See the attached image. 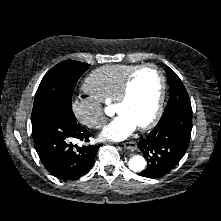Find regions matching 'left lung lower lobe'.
<instances>
[{"label":"left lung lower lobe","mask_w":221,"mask_h":221,"mask_svg":"<svg viewBox=\"0 0 221 221\" xmlns=\"http://www.w3.org/2000/svg\"><path fill=\"white\" fill-rule=\"evenodd\" d=\"M192 130V108L164 113L156 127L138 143L147 167L138 175L159 178L168 174L186 152Z\"/></svg>","instance_id":"obj_1"}]
</instances>
